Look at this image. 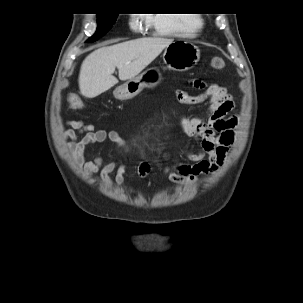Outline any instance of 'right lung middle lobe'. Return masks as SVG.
Returning a JSON list of instances; mask_svg holds the SVG:
<instances>
[{"label": "right lung middle lobe", "instance_id": "obj_1", "mask_svg": "<svg viewBox=\"0 0 303 303\" xmlns=\"http://www.w3.org/2000/svg\"><path fill=\"white\" fill-rule=\"evenodd\" d=\"M117 16L118 14H98V29L95 35L92 36L87 42H94L107 33L111 26L115 23Z\"/></svg>", "mask_w": 303, "mask_h": 303}]
</instances>
